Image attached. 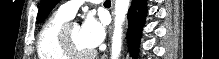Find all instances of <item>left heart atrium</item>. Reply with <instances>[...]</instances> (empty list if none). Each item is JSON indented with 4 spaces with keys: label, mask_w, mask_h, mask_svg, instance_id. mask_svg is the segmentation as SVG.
<instances>
[{
    "label": "left heart atrium",
    "mask_w": 219,
    "mask_h": 59,
    "mask_svg": "<svg viewBox=\"0 0 219 59\" xmlns=\"http://www.w3.org/2000/svg\"><path fill=\"white\" fill-rule=\"evenodd\" d=\"M104 35L103 22L93 16H87L80 27V37L84 44L93 49L102 42Z\"/></svg>",
    "instance_id": "39dd6f15"
}]
</instances>
